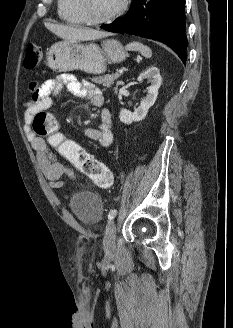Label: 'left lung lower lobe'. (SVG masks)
Returning a JSON list of instances; mask_svg holds the SVG:
<instances>
[{"label":"left lung lower lobe","instance_id":"1","mask_svg":"<svg viewBox=\"0 0 233 328\" xmlns=\"http://www.w3.org/2000/svg\"><path fill=\"white\" fill-rule=\"evenodd\" d=\"M185 0H132L128 14L101 28L154 39L168 45L186 61Z\"/></svg>","mask_w":233,"mask_h":328}]
</instances>
